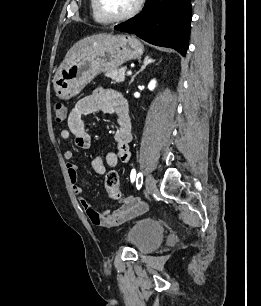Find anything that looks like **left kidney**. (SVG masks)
I'll list each match as a JSON object with an SVG mask.
<instances>
[{"label":"left kidney","instance_id":"5707ae66","mask_svg":"<svg viewBox=\"0 0 261 306\" xmlns=\"http://www.w3.org/2000/svg\"><path fill=\"white\" fill-rule=\"evenodd\" d=\"M155 87H156V80H152L150 83H149V85H148V88H149V90H154L155 89Z\"/></svg>","mask_w":261,"mask_h":306}]
</instances>
